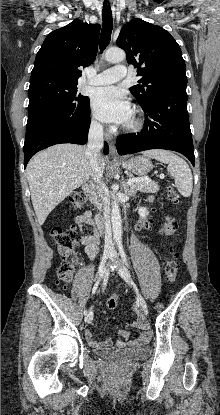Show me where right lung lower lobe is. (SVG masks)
I'll use <instances>...</instances> for the list:
<instances>
[{
	"instance_id": "1",
	"label": "right lung lower lobe",
	"mask_w": 220,
	"mask_h": 415,
	"mask_svg": "<svg viewBox=\"0 0 220 415\" xmlns=\"http://www.w3.org/2000/svg\"><path fill=\"white\" fill-rule=\"evenodd\" d=\"M90 126V104L85 113L76 120H67L56 114L46 117L26 128L24 142V167L38 151L59 143L85 144ZM109 148L105 143L104 153Z\"/></svg>"
}]
</instances>
